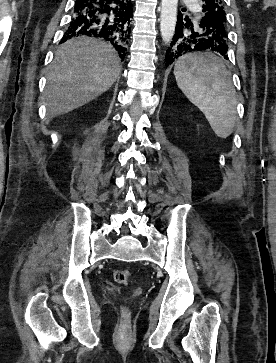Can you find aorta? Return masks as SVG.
I'll use <instances>...</instances> for the list:
<instances>
[{
	"mask_svg": "<svg viewBox=\"0 0 276 363\" xmlns=\"http://www.w3.org/2000/svg\"><path fill=\"white\" fill-rule=\"evenodd\" d=\"M177 6L178 0H162L161 2L160 31L162 40L166 44L171 42L175 33Z\"/></svg>",
	"mask_w": 276,
	"mask_h": 363,
	"instance_id": "762f6f07",
	"label": "aorta"
}]
</instances>
